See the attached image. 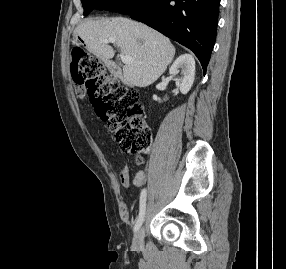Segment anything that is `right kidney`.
I'll return each mask as SVG.
<instances>
[{
    "instance_id": "1",
    "label": "right kidney",
    "mask_w": 286,
    "mask_h": 269,
    "mask_svg": "<svg viewBox=\"0 0 286 269\" xmlns=\"http://www.w3.org/2000/svg\"><path fill=\"white\" fill-rule=\"evenodd\" d=\"M179 71H181V77L174 79L176 86L182 94H187L193 85L195 77V61L192 55H181L169 69V73L172 76H175Z\"/></svg>"
}]
</instances>
